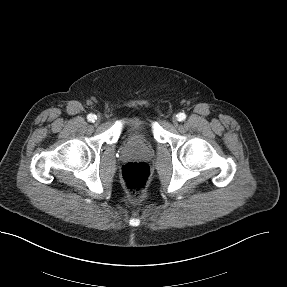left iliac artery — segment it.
Returning <instances> with one entry per match:
<instances>
[{
	"label": "left iliac artery",
	"instance_id": "1",
	"mask_svg": "<svg viewBox=\"0 0 287 287\" xmlns=\"http://www.w3.org/2000/svg\"><path fill=\"white\" fill-rule=\"evenodd\" d=\"M177 119H178V121H183V120H185V119H186L185 113H179V114L177 115Z\"/></svg>",
	"mask_w": 287,
	"mask_h": 287
}]
</instances>
